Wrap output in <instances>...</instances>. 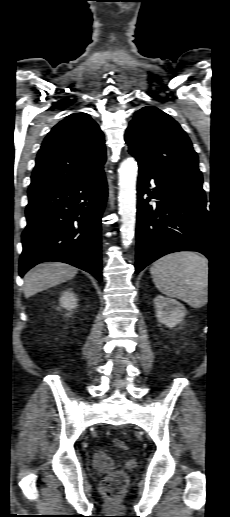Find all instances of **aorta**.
<instances>
[{"mask_svg": "<svg viewBox=\"0 0 230 517\" xmlns=\"http://www.w3.org/2000/svg\"><path fill=\"white\" fill-rule=\"evenodd\" d=\"M137 163L133 158L124 160L119 168V213L122 225L120 228L122 243L129 246L134 237L136 223V180Z\"/></svg>", "mask_w": 230, "mask_h": 517, "instance_id": "762f6f07", "label": "aorta"}]
</instances>
